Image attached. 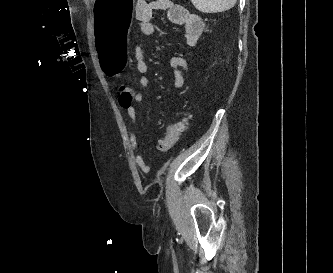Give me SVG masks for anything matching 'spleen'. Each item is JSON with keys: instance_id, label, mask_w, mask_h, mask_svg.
I'll return each instance as SVG.
<instances>
[{"instance_id": "obj_1", "label": "spleen", "mask_w": 333, "mask_h": 273, "mask_svg": "<svg viewBox=\"0 0 333 273\" xmlns=\"http://www.w3.org/2000/svg\"><path fill=\"white\" fill-rule=\"evenodd\" d=\"M237 0H191L196 9L203 13L223 12L234 7Z\"/></svg>"}]
</instances>
